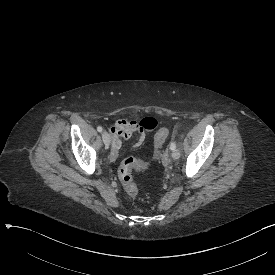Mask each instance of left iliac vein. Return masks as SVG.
<instances>
[{
	"instance_id": "4c4485c4",
	"label": "left iliac vein",
	"mask_w": 275,
	"mask_h": 275,
	"mask_svg": "<svg viewBox=\"0 0 275 275\" xmlns=\"http://www.w3.org/2000/svg\"><path fill=\"white\" fill-rule=\"evenodd\" d=\"M171 157L174 159V160H177L179 157H180V152L178 149H174L171 153Z\"/></svg>"
}]
</instances>
